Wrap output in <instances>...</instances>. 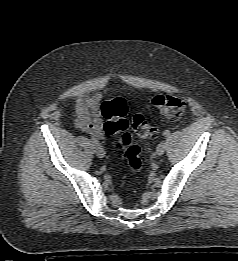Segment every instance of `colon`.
<instances>
[{"instance_id":"colon-1","label":"colon","mask_w":238,"mask_h":261,"mask_svg":"<svg viewBox=\"0 0 238 261\" xmlns=\"http://www.w3.org/2000/svg\"><path fill=\"white\" fill-rule=\"evenodd\" d=\"M151 103L164 116L174 120L181 118L186 108L183 99L172 95H157L152 98ZM102 115L105 118L104 132L107 135L119 136L114 146L122 152L132 174L137 175L143 168V162L140 157V148L128 132V127L130 125L133 131L143 139L154 138L157 135V129L150 125L141 114H136L129 124L126 119L127 103L120 97L105 101L102 104ZM133 189V182H131L130 190L133 191Z\"/></svg>"}]
</instances>
